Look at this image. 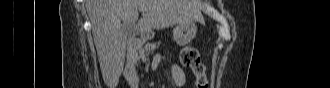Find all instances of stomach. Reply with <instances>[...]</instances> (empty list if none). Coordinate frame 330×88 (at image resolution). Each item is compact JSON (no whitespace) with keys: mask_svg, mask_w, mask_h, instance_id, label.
I'll return each mask as SVG.
<instances>
[{"mask_svg":"<svg viewBox=\"0 0 330 88\" xmlns=\"http://www.w3.org/2000/svg\"><path fill=\"white\" fill-rule=\"evenodd\" d=\"M197 26L194 22L180 23L173 29V38L180 46L189 44L195 37Z\"/></svg>","mask_w":330,"mask_h":88,"instance_id":"1","label":"stomach"}]
</instances>
